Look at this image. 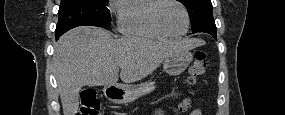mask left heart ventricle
<instances>
[{"mask_svg": "<svg viewBox=\"0 0 285 115\" xmlns=\"http://www.w3.org/2000/svg\"><path fill=\"white\" fill-rule=\"evenodd\" d=\"M159 21L169 32L177 34L184 31L186 19L182 8L173 2H166L159 9Z\"/></svg>", "mask_w": 285, "mask_h": 115, "instance_id": "b2bd125f", "label": "left heart ventricle"}]
</instances>
